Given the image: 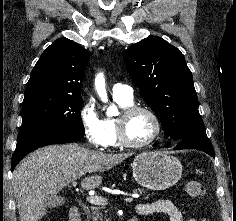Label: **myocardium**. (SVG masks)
Here are the masks:
<instances>
[{"instance_id": "f54148a6", "label": "myocardium", "mask_w": 236, "mask_h": 221, "mask_svg": "<svg viewBox=\"0 0 236 221\" xmlns=\"http://www.w3.org/2000/svg\"><path fill=\"white\" fill-rule=\"evenodd\" d=\"M138 112L148 114L155 123V132L153 136L149 140L142 143L132 142L126 134V126L129 118ZM116 128L119 144L126 148L132 149H143L151 146L160 138L163 131V126L158 114L150 107L144 105H129L122 108L120 115L116 118Z\"/></svg>"}]
</instances>
